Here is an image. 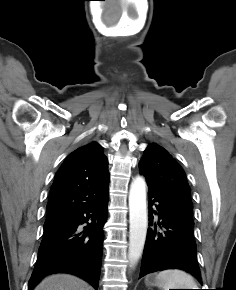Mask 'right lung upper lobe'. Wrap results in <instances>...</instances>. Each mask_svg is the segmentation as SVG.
<instances>
[{"label": "right lung upper lobe", "instance_id": "right-lung-upper-lobe-1", "mask_svg": "<svg viewBox=\"0 0 236 290\" xmlns=\"http://www.w3.org/2000/svg\"><path fill=\"white\" fill-rule=\"evenodd\" d=\"M108 160L91 142L73 151L56 173L47 204V220L62 221L96 204L108 192Z\"/></svg>", "mask_w": 236, "mask_h": 290}]
</instances>
